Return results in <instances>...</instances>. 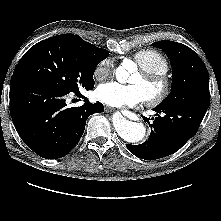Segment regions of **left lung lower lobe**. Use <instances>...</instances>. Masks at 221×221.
<instances>
[{
  "label": "left lung lower lobe",
  "mask_w": 221,
  "mask_h": 221,
  "mask_svg": "<svg viewBox=\"0 0 221 221\" xmlns=\"http://www.w3.org/2000/svg\"><path fill=\"white\" fill-rule=\"evenodd\" d=\"M210 99L193 102L174 103L168 106L158 105L151 126L148 141L140 145L126 144L128 150L139 158L155 160L171 155L192 138L209 107ZM163 113V116L159 114ZM143 117V116H142ZM149 122L150 118L143 117Z\"/></svg>",
  "instance_id": "obj_1"
}]
</instances>
